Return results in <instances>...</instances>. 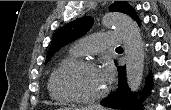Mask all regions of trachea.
Returning <instances> with one entry per match:
<instances>
[{"instance_id":"3493384b","label":"trachea","mask_w":171,"mask_h":110,"mask_svg":"<svg viewBox=\"0 0 171 110\" xmlns=\"http://www.w3.org/2000/svg\"><path fill=\"white\" fill-rule=\"evenodd\" d=\"M116 49H122V47H121V46H119V47H117Z\"/></svg>"}]
</instances>
